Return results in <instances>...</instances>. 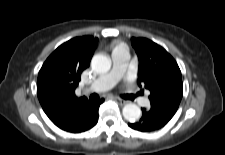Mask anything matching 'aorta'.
I'll return each mask as SVG.
<instances>
[{
    "mask_svg": "<svg viewBox=\"0 0 225 155\" xmlns=\"http://www.w3.org/2000/svg\"><path fill=\"white\" fill-rule=\"evenodd\" d=\"M92 69L99 73H107L111 68V60L108 56L103 54L94 55L91 60ZM123 116L130 122H135L141 117V109L133 103L126 104L122 110Z\"/></svg>",
    "mask_w": 225,
    "mask_h": 155,
    "instance_id": "aorta-1",
    "label": "aorta"
}]
</instances>
